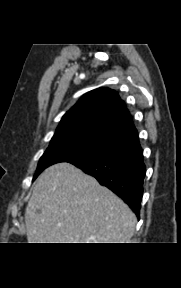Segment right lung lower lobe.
<instances>
[{"mask_svg":"<svg viewBox=\"0 0 181 288\" xmlns=\"http://www.w3.org/2000/svg\"><path fill=\"white\" fill-rule=\"evenodd\" d=\"M124 200L139 218L146 167L140 146L102 157L70 162Z\"/></svg>","mask_w":181,"mask_h":288,"instance_id":"right-lung-lower-lobe-1","label":"right lung lower lobe"}]
</instances>
